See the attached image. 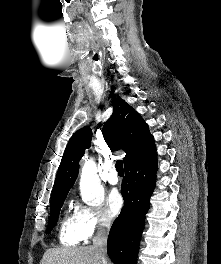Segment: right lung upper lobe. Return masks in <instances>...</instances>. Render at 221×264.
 Returning <instances> with one entry per match:
<instances>
[{
	"label": "right lung upper lobe",
	"instance_id": "cb5924a9",
	"mask_svg": "<svg viewBox=\"0 0 221 264\" xmlns=\"http://www.w3.org/2000/svg\"><path fill=\"white\" fill-rule=\"evenodd\" d=\"M104 140L112 151L124 150L125 168L149 160L156 154L154 138L147 123L123 99L113 103V114L102 129ZM92 130L83 127L70 138L52 190L51 200L66 194L73 186L79 170V161L85 149L91 146Z\"/></svg>",
	"mask_w": 221,
	"mask_h": 264
}]
</instances>
